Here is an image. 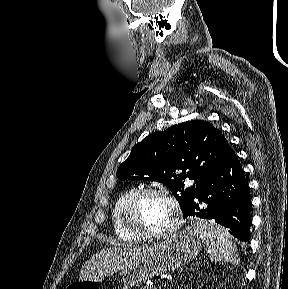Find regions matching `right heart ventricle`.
<instances>
[{"instance_id":"right-heart-ventricle-1","label":"right heart ventricle","mask_w":288,"mask_h":289,"mask_svg":"<svg viewBox=\"0 0 288 289\" xmlns=\"http://www.w3.org/2000/svg\"><path fill=\"white\" fill-rule=\"evenodd\" d=\"M135 192L136 189L133 187L121 192L120 195L116 198L111 210L113 233L118 240L126 244H135L139 242V239L132 236L128 231H126L121 222L122 206Z\"/></svg>"}]
</instances>
